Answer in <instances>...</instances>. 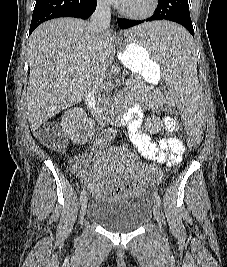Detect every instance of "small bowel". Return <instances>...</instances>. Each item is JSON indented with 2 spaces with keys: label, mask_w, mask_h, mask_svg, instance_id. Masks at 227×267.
I'll use <instances>...</instances> for the list:
<instances>
[{
  "label": "small bowel",
  "mask_w": 227,
  "mask_h": 267,
  "mask_svg": "<svg viewBox=\"0 0 227 267\" xmlns=\"http://www.w3.org/2000/svg\"><path fill=\"white\" fill-rule=\"evenodd\" d=\"M143 118L144 113L140 109H133L121 118V124L127 127L134 146L146 159L164 164L168 168L178 165L182 161L185 152L182 139L171 135L154 141L149 134L142 130ZM163 129L166 132L175 133L178 130V126L173 118L166 116ZM72 169L82 180L89 182L88 186L93 194L99 196L117 195V188L100 182L101 173L99 171H89L83 158L77 157Z\"/></svg>",
  "instance_id": "1"
}]
</instances>
